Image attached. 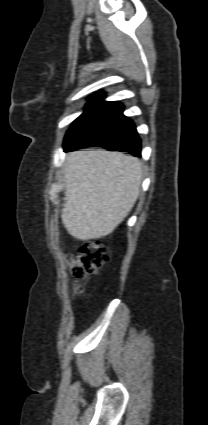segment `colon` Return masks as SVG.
I'll use <instances>...</instances> for the list:
<instances>
[{
  "instance_id": "1",
  "label": "colon",
  "mask_w": 208,
  "mask_h": 425,
  "mask_svg": "<svg viewBox=\"0 0 208 425\" xmlns=\"http://www.w3.org/2000/svg\"><path fill=\"white\" fill-rule=\"evenodd\" d=\"M108 260L109 251L100 240L85 241L70 257L72 273L77 279H84L96 273Z\"/></svg>"
}]
</instances>
